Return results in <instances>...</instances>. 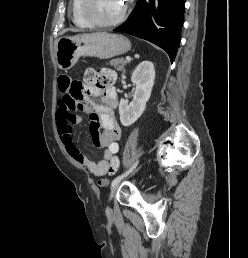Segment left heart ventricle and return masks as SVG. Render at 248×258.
<instances>
[{"label":"left heart ventricle","mask_w":248,"mask_h":258,"mask_svg":"<svg viewBox=\"0 0 248 258\" xmlns=\"http://www.w3.org/2000/svg\"><path fill=\"white\" fill-rule=\"evenodd\" d=\"M124 0H89L87 8L92 18L97 21H110L119 16Z\"/></svg>","instance_id":"1"}]
</instances>
